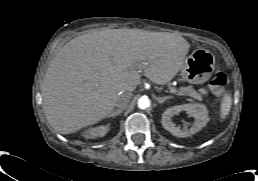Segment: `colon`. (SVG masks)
<instances>
[{"mask_svg": "<svg viewBox=\"0 0 258 181\" xmlns=\"http://www.w3.org/2000/svg\"><path fill=\"white\" fill-rule=\"evenodd\" d=\"M227 83V77L222 71H217L210 82V88L217 95L224 93V87Z\"/></svg>", "mask_w": 258, "mask_h": 181, "instance_id": "obj_1", "label": "colon"}]
</instances>
